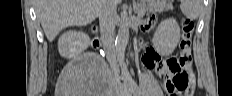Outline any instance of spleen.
I'll return each mask as SVG.
<instances>
[{
	"label": "spleen",
	"instance_id": "spleen-1",
	"mask_svg": "<svg viewBox=\"0 0 232 96\" xmlns=\"http://www.w3.org/2000/svg\"><path fill=\"white\" fill-rule=\"evenodd\" d=\"M180 9L188 19L195 20L202 13L203 3L201 0H181Z\"/></svg>",
	"mask_w": 232,
	"mask_h": 96
}]
</instances>
